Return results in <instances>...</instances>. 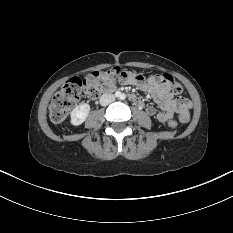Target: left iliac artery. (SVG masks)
Segmentation results:
<instances>
[{
	"label": "left iliac artery",
	"mask_w": 233,
	"mask_h": 233,
	"mask_svg": "<svg viewBox=\"0 0 233 233\" xmlns=\"http://www.w3.org/2000/svg\"><path fill=\"white\" fill-rule=\"evenodd\" d=\"M125 97H126V96L123 94V95L121 96V99H125Z\"/></svg>",
	"instance_id": "1"
}]
</instances>
